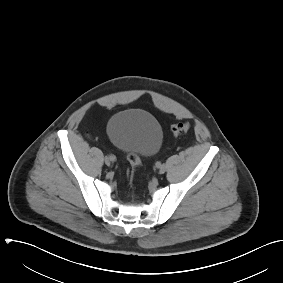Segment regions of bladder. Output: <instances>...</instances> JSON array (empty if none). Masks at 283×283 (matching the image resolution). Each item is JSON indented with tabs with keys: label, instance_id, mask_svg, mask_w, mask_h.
<instances>
[{
	"label": "bladder",
	"instance_id": "1",
	"mask_svg": "<svg viewBox=\"0 0 283 283\" xmlns=\"http://www.w3.org/2000/svg\"><path fill=\"white\" fill-rule=\"evenodd\" d=\"M107 135L117 148L139 157L156 154L163 141L159 121L142 109H127L113 115L107 124Z\"/></svg>",
	"mask_w": 283,
	"mask_h": 283
}]
</instances>
